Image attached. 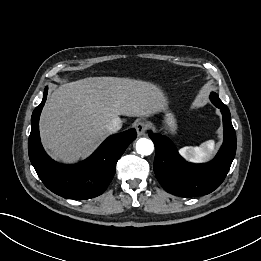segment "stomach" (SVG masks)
<instances>
[{
    "mask_svg": "<svg viewBox=\"0 0 261 261\" xmlns=\"http://www.w3.org/2000/svg\"><path fill=\"white\" fill-rule=\"evenodd\" d=\"M164 127L172 134H176L177 132V122L175 119L174 114L172 113H167L165 120H164Z\"/></svg>",
    "mask_w": 261,
    "mask_h": 261,
    "instance_id": "0dacf381",
    "label": "stomach"
}]
</instances>
